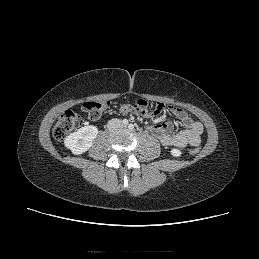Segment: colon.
I'll list each match as a JSON object with an SVG mask.
<instances>
[{
	"label": "colon",
	"mask_w": 259,
	"mask_h": 259,
	"mask_svg": "<svg viewBox=\"0 0 259 259\" xmlns=\"http://www.w3.org/2000/svg\"><path fill=\"white\" fill-rule=\"evenodd\" d=\"M110 105L109 101H91L83 104V110L87 113L88 118L92 121L100 119L103 112ZM163 110V105H157L153 111H149L148 103L144 99H138L133 104H124L120 106L119 111L122 114L135 111L142 114L159 115ZM82 119L79 114L71 110L62 113L56 120L53 128V136L57 140L64 139L71 131L80 127ZM199 152L198 147H193L190 150L191 155H196Z\"/></svg>",
	"instance_id": "obj_1"
}]
</instances>
